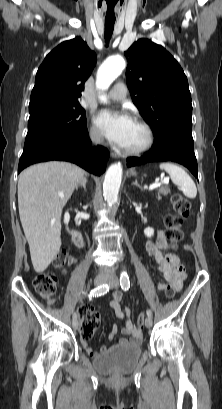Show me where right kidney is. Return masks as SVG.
<instances>
[{"label":"right kidney","mask_w":222,"mask_h":409,"mask_svg":"<svg viewBox=\"0 0 222 409\" xmlns=\"http://www.w3.org/2000/svg\"><path fill=\"white\" fill-rule=\"evenodd\" d=\"M69 220H70V215H69L68 212H66L65 215H64V222H65V224H68Z\"/></svg>","instance_id":"obj_1"}]
</instances>
